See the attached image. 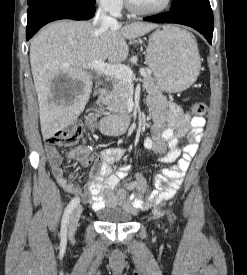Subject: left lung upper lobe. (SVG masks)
I'll use <instances>...</instances> for the list:
<instances>
[{"label":"left lung upper lobe","instance_id":"1","mask_svg":"<svg viewBox=\"0 0 247 275\" xmlns=\"http://www.w3.org/2000/svg\"><path fill=\"white\" fill-rule=\"evenodd\" d=\"M209 2V0H172L171 10H177L192 4Z\"/></svg>","mask_w":247,"mask_h":275}]
</instances>
